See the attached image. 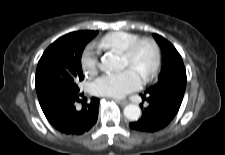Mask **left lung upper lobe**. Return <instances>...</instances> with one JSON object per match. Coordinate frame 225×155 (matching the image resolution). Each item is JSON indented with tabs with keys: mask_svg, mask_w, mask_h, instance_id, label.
Masks as SVG:
<instances>
[{
	"mask_svg": "<svg viewBox=\"0 0 225 155\" xmlns=\"http://www.w3.org/2000/svg\"><path fill=\"white\" fill-rule=\"evenodd\" d=\"M161 47L163 63L157 83L145 94L181 92L186 89V70L182 58L175 47L160 35L153 34Z\"/></svg>",
	"mask_w": 225,
	"mask_h": 155,
	"instance_id": "5c2ea615",
	"label": "left lung upper lobe"
}]
</instances>
